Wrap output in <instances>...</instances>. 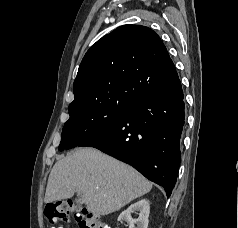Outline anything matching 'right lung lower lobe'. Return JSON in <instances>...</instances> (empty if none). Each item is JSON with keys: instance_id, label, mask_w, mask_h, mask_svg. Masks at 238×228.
I'll list each match as a JSON object with an SVG mask.
<instances>
[{"instance_id": "right-lung-lower-lobe-1", "label": "right lung lower lobe", "mask_w": 238, "mask_h": 228, "mask_svg": "<svg viewBox=\"0 0 238 228\" xmlns=\"http://www.w3.org/2000/svg\"><path fill=\"white\" fill-rule=\"evenodd\" d=\"M181 82L132 101L120 118L79 147H94L132 165L168 196L180 165L185 123Z\"/></svg>"}]
</instances>
